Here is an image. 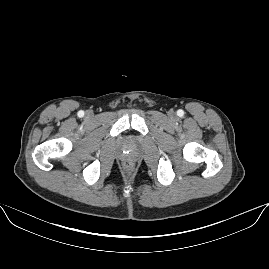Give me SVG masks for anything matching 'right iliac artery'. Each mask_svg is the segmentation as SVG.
<instances>
[{
	"instance_id": "right-iliac-artery-1",
	"label": "right iliac artery",
	"mask_w": 269,
	"mask_h": 269,
	"mask_svg": "<svg viewBox=\"0 0 269 269\" xmlns=\"http://www.w3.org/2000/svg\"><path fill=\"white\" fill-rule=\"evenodd\" d=\"M78 116H79V117H83V116H84V111H82V110L79 111V112H78Z\"/></svg>"
}]
</instances>
